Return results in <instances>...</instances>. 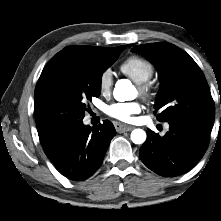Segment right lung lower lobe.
I'll return each mask as SVG.
<instances>
[{"label":"right lung lower lobe","mask_w":221,"mask_h":221,"mask_svg":"<svg viewBox=\"0 0 221 221\" xmlns=\"http://www.w3.org/2000/svg\"><path fill=\"white\" fill-rule=\"evenodd\" d=\"M116 130L109 120L96 128L82 120L61 130L42 147L58 171L73 181L92 176L101 166Z\"/></svg>","instance_id":"right-lung-lower-lobe-1"}]
</instances>
